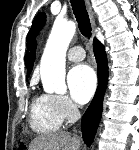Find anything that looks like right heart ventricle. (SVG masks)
Wrapping results in <instances>:
<instances>
[{
	"instance_id": "obj_1",
	"label": "right heart ventricle",
	"mask_w": 139,
	"mask_h": 150,
	"mask_svg": "<svg viewBox=\"0 0 139 150\" xmlns=\"http://www.w3.org/2000/svg\"><path fill=\"white\" fill-rule=\"evenodd\" d=\"M63 122V117L58 111L53 95L38 94L33 97L30 106L29 123L37 133H50L57 131Z\"/></svg>"
}]
</instances>
